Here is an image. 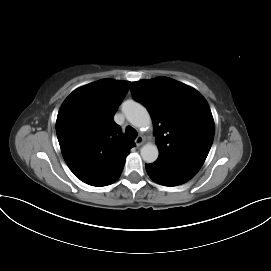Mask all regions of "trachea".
Segmentation results:
<instances>
[{"label": "trachea", "mask_w": 271, "mask_h": 271, "mask_svg": "<svg viewBox=\"0 0 271 271\" xmlns=\"http://www.w3.org/2000/svg\"><path fill=\"white\" fill-rule=\"evenodd\" d=\"M125 134L129 139H135L137 137V131L131 126L126 128Z\"/></svg>", "instance_id": "3493384b"}]
</instances>
